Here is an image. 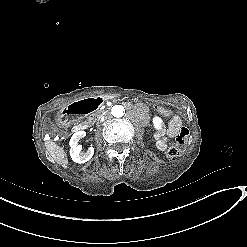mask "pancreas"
I'll list each match as a JSON object with an SVG mask.
<instances>
[{
  "label": "pancreas",
  "mask_w": 247,
  "mask_h": 247,
  "mask_svg": "<svg viewBox=\"0 0 247 247\" xmlns=\"http://www.w3.org/2000/svg\"><path fill=\"white\" fill-rule=\"evenodd\" d=\"M99 116V113H94V114H91L88 118L89 121H91L92 124L95 123V121L97 120V117Z\"/></svg>",
  "instance_id": "obj_1"
}]
</instances>
